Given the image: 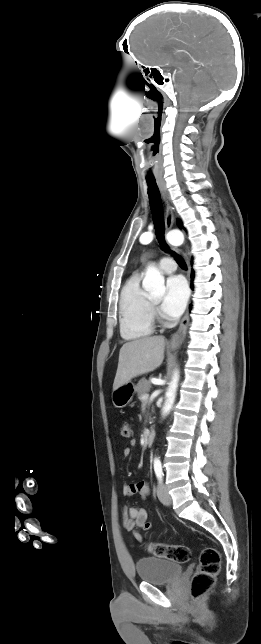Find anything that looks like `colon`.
Masks as SVG:
<instances>
[{
  "label": "colon",
  "mask_w": 261,
  "mask_h": 644,
  "mask_svg": "<svg viewBox=\"0 0 261 644\" xmlns=\"http://www.w3.org/2000/svg\"><path fill=\"white\" fill-rule=\"evenodd\" d=\"M120 434L125 439L132 438L133 430L129 422L125 421L121 424ZM146 548L155 557L177 563H186L191 558V551L185 545L149 543ZM220 561V553L216 548L206 547L201 551L199 567L190 584V594L194 601L200 600L215 585L220 570Z\"/></svg>",
  "instance_id": "colon-1"
}]
</instances>
